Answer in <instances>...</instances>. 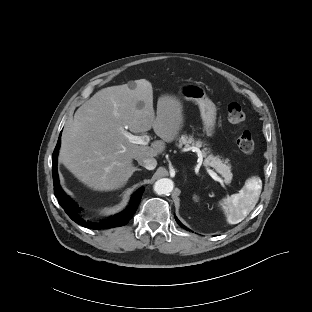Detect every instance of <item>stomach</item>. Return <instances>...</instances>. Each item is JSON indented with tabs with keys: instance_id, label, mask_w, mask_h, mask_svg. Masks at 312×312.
Segmentation results:
<instances>
[{
	"instance_id": "obj_1",
	"label": "stomach",
	"mask_w": 312,
	"mask_h": 312,
	"mask_svg": "<svg viewBox=\"0 0 312 312\" xmlns=\"http://www.w3.org/2000/svg\"><path fill=\"white\" fill-rule=\"evenodd\" d=\"M179 94L183 99L198 104L204 131L207 136H212L215 132L217 110L215 104L207 97L204 88L196 83H185L179 87Z\"/></svg>"
}]
</instances>
